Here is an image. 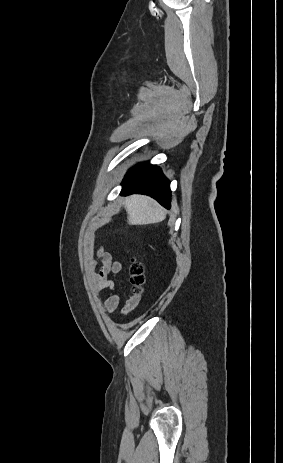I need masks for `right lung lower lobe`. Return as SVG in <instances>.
Returning <instances> with one entry per match:
<instances>
[{
	"label": "right lung lower lobe",
	"mask_w": 283,
	"mask_h": 463,
	"mask_svg": "<svg viewBox=\"0 0 283 463\" xmlns=\"http://www.w3.org/2000/svg\"><path fill=\"white\" fill-rule=\"evenodd\" d=\"M122 195L146 194L170 208V183L155 165L141 163L129 170L122 182Z\"/></svg>",
	"instance_id": "1"
}]
</instances>
